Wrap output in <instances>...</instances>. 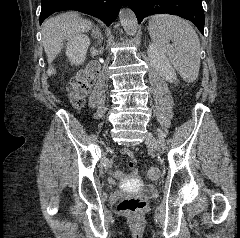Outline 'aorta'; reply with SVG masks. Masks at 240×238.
Masks as SVG:
<instances>
[{"label": "aorta", "mask_w": 240, "mask_h": 238, "mask_svg": "<svg viewBox=\"0 0 240 238\" xmlns=\"http://www.w3.org/2000/svg\"><path fill=\"white\" fill-rule=\"evenodd\" d=\"M120 23L127 35L133 36L138 29V22L131 9H121L119 12Z\"/></svg>", "instance_id": "aorta-1"}]
</instances>
